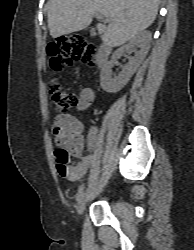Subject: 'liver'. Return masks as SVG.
I'll return each mask as SVG.
<instances>
[{
    "label": "liver",
    "instance_id": "obj_1",
    "mask_svg": "<svg viewBox=\"0 0 194 250\" xmlns=\"http://www.w3.org/2000/svg\"><path fill=\"white\" fill-rule=\"evenodd\" d=\"M158 5L159 0H49L48 28L57 38L87 28L98 13L111 21L108 26L97 25L103 43L117 47L154 22Z\"/></svg>",
    "mask_w": 194,
    "mask_h": 250
}]
</instances>
